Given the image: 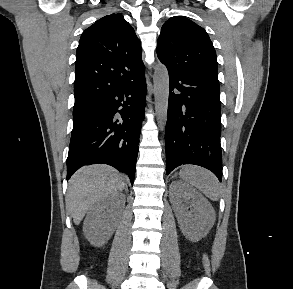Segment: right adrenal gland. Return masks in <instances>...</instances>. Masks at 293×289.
Returning a JSON list of instances; mask_svg holds the SVG:
<instances>
[{"instance_id":"obj_1","label":"right adrenal gland","mask_w":293,"mask_h":289,"mask_svg":"<svg viewBox=\"0 0 293 289\" xmlns=\"http://www.w3.org/2000/svg\"><path fill=\"white\" fill-rule=\"evenodd\" d=\"M124 189H125L126 192H128V188H127V186H125Z\"/></svg>"}]
</instances>
